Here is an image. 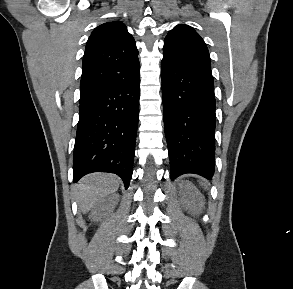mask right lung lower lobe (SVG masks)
<instances>
[{
	"label": "right lung lower lobe",
	"instance_id": "right-lung-lower-lobe-1",
	"mask_svg": "<svg viewBox=\"0 0 293 289\" xmlns=\"http://www.w3.org/2000/svg\"><path fill=\"white\" fill-rule=\"evenodd\" d=\"M140 77L111 87L79 105L73 179L91 172L115 173L128 188L139 116Z\"/></svg>",
	"mask_w": 293,
	"mask_h": 289
}]
</instances>
